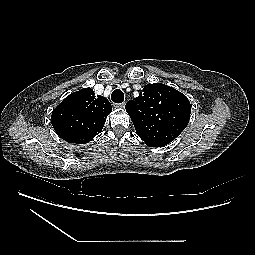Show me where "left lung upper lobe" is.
I'll return each mask as SVG.
<instances>
[{
	"label": "left lung upper lobe",
	"instance_id": "1",
	"mask_svg": "<svg viewBox=\"0 0 255 255\" xmlns=\"http://www.w3.org/2000/svg\"><path fill=\"white\" fill-rule=\"evenodd\" d=\"M125 109L137 135L150 147L172 142L188 125L191 113L188 98L161 83L147 84Z\"/></svg>",
	"mask_w": 255,
	"mask_h": 255
}]
</instances>
